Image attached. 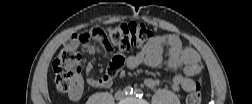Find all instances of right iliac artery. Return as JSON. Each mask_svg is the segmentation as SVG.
Instances as JSON below:
<instances>
[{
  "label": "right iliac artery",
  "mask_w": 252,
  "mask_h": 104,
  "mask_svg": "<svg viewBox=\"0 0 252 104\" xmlns=\"http://www.w3.org/2000/svg\"><path fill=\"white\" fill-rule=\"evenodd\" d=\"M124 92H125L126 95H132L133 94V88L131 86H127L124 89Z\"/></svg>",
  "instance_id": "1"
}]
</instances>
